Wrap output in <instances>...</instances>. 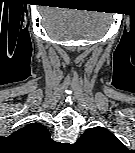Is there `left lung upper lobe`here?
<instances>
[{"label":"left lung upper lobe","instance_id":"left-lung-upper-lobe-1","mask_svg":"<svg viewBox=\"0 0 135 153\" xmlns=\"http://www.w3.org/2000/svg\"><path fill=\"white\" fill-rule=\"evenodd\" d=\"M76 145L90 153H122L126 149L111 132L103 127L87 129Z\"/></svg>","mask_w":135,"mask_h":153}]
</instances>
